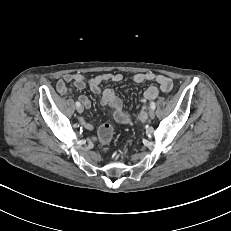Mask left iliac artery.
Wrapping results in <instances>:
<instances>
[{"label": "left iliac artery", "instance_id": "1", "mask_svg": "<svg viewBox=\"0 0 231 231\" xmlns=\"http://www.w3.org/2000/svg\"><path fill=\"white\" fill-rule=\"evenodd\" d=\"M150 108H151L152 110H155L156 105H155V102H154V101H152V102L150 103Z\"/></svg>", "mask_w": 231, "mask_h": 231}]
</instances>
